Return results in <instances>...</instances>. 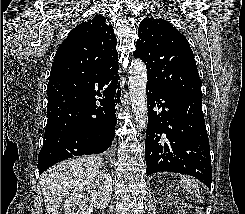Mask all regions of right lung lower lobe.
<instances>
[{
  "mask_svg": "<svg viewBox=\"0 0 245 214\" xmlns=\"http://www.w3.org/2000/svg\"><path fill=\"white\" fill-rule=\"evenodd\" d=\"M117 72L100 73L81 98L48 96V121L38 155L39 174L65 159L98 154L111 147L115 136V106L120 102ZM95 96L100 97L98 99Z\"/></svg>",
  "mask_w": 245,
  "mask_h": 214,
  "instance_id": "right-lung-lower-lobe-1",
  "label": "right lung lower lobe"
}]
</instances>
